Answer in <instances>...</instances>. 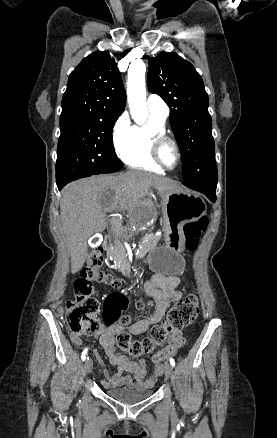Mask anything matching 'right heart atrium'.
Instances as JSON below:
<instances>
[{
  "label": "right heart atrium",
  "mask_w": 277,
  "mask_h": 438,
  "mask_svg": "<svg viewBox=\"0 0 277 438\" xmlns=\"http://www.w3.org/2000/svg\"><path fill=\"white\" fill-rule=\"evenodd\" d=\"M130 131V125L124 117H120L114 125L113 136L115 145L119 148L127 139Z\"/></svg>",
  "instance_id": "right-heart-atrium-1"
}]
</instances>
